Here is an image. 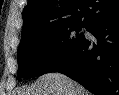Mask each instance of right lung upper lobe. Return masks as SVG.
Returning a JSON list of instances; mask_svg holds the SVG:
<instances>
[{
    "label": "right lung upper lobe",
    "instance_id": "1",
    "mask_svg": "<svg viewBox=\"0 0 119 95\" xmlns=\"http://www.w3.org/2000/svg\"><path fill=\"white\" fill-rule=\"evenodd\" d=\"M119 14V0H28L21 37L47 24L77 23L87 27Z\"/></svg>",
    "mask_w": 119,
    "mask_h": 95
}]
</instances>
